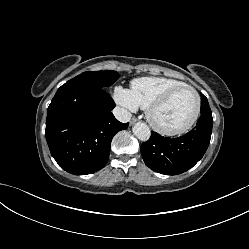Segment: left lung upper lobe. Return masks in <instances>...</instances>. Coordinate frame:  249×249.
<instances>
[{"instance_id":"1","label":"left lung upper lobe","mask_w":249,"mask_h":249,"mask_svg":"<svg viewBox=\"0 0 249 249\" xmlns=\"http://www.w3.org/2000/svg\"><path fill=\"white\" fill-rule=\"evenodd\" d=\"M201 114H206V113H210L211 114V109L209 107L207 98L204 95H201Z\"/></svg>"}]
</instances>
